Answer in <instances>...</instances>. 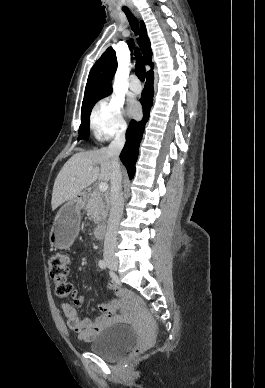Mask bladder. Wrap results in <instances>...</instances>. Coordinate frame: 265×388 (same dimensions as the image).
Returning a JSON list of instances; mask_svg holds the SVG:
<instances>
[{"label": "bladder", "mask_w": 265, "mask_h": 388, "mask_svg": "<svg viewBox=\"0 0 265 388\" xmlns=\"http://www.w3.org/2000/svg\"><path fill=\"white\" fill-rule=\"evenodd\" d=\"M136 333L125 325H113L97 334L89 349L102 357L110 358L127 351L135 343Z\"/></svg>", "instance_id": "bladder-1"}]
</instances>
